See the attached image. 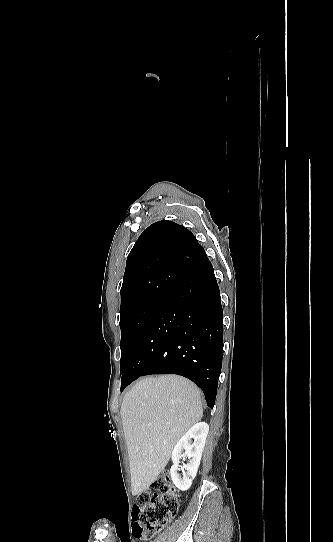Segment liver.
<instances>
[{"instance_id": "6515ba94", "label": "liver", "mask_w": 333, "mask_h": 542, "mask_svg": "<svg viewBox=\"0 0 333 542\" xmlns=\"http://www.w3.org/2000/svg\"><path fill=\"white\" fill-rule=\"evenodd\" d=\"M123 432L128 450L132 496H140L167 466L172 450L203 408L200 390L186 378L165 374L142 378L123 398Z\"/></svg>"}]
</instances>
